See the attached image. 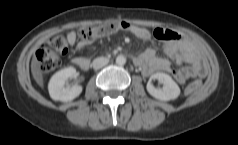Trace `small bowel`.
Returning <instances> with one entry per match:
<instances>
[{
    "label": "small bowel",
    "instance_id": "small-bowel-1",
    "mask_svg": "<svg viewBox=\"0 0 238 145\" xmlns=\"http://www.w3.org/2000/svg\"><path fill=\"white\" fill-rule=\"evenodd\" d=\"M128 31L141 41L147 43L151 39L156 41H165L164 49L166 51H178L173 59L159 57L152 48L146 49L143 53L135 57V65L142 68L145 75H151L161 72H170L172 63H187L188 67L180 68L173 72L175 79L179 84H183L192 77H204L207 74V67L203 62L200 53L187 41L182 40V34L177 30L163 27H152L150 30L131 25ZM68 39L71 44L76 42L75 35L70 33ZM84 44L78 43L76 51H79ZM73 63L86 69L89 61L83 57H75Z\"/></svg>",
    "mask_w": 238,
    "mask_h": 145
}]
</instances>
